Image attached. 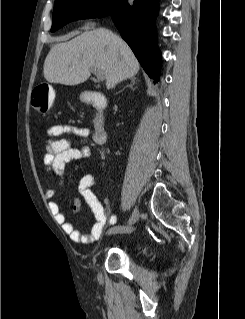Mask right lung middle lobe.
Listing matches in <instances>:
<instances>
[{"mask_svg": "<svg viewBox=\"0 0 245 319\" xmlns=\"http://www.w3.org/2000/svg\"><path fill=\"white\" fill-rule=\"evenodd\" d=\"M119 0H55L51 32L79 19L101 18L110 13Z\"/></svg>", "mask_w": 245, "mask_h": 319, "instance_id": "right-lung-middle-lobe-1", "label": "right lung middle lobe"}]
</instances>
